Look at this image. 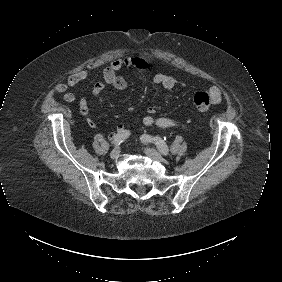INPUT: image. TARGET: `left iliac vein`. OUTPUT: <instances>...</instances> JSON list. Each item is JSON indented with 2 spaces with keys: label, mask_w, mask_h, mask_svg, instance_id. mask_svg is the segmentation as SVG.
I'll use <instances>...</instances> for the list:
<instances>
[{
  "label": "left iliac vein",
  "mask_w": 282,
  "mask_h": 282,
  "mask_svg": "<svg viewBox=\"0 0 282 282\" xmlns=\"http://www.w3.org/2000/svg\"><path fill=\"white\" fill-rule=\"evenodd\" d=\"M144 152L148 157L152 158L155 161H158V162L163 161V157L161 156V154L153 148H145Z\"/></svg>",
  "instance_id": "4c4485c4"
}]
</instances>
